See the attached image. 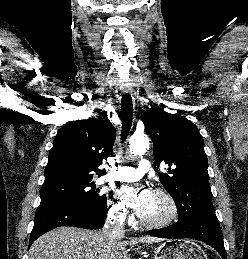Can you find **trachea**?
Listing matches in <instances>:
<instances>
[{"instance_id": "trachea-1", "label": "trachea", "mask_w": 248, "mask_h": 259, "mask_svg": "<svg viewBox=\"0 0 248 259\" xmlns=\"http://www.w3.org/2000/svg\"><path fill=\"white\" fill-rule=\"evenodd\" d=\"M132 119H133L132 98L129 94H125L121 98V120H122L121 140L122 141H124L127 138V135L132 125Z\"/></svg>"}]
</instances>
